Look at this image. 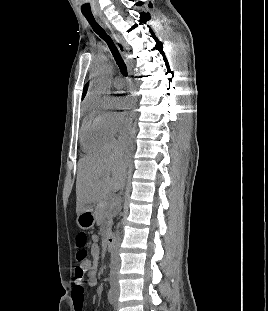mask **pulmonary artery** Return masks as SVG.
Segmentation results:
<instances>
[{"label": "pulmonary artery", "mask_w": 268, "mask_h": 311, "mask_svg": "<svg viewBox=\"0 0 268 311\" xmlns=\"http://www.w3.org/2000/svg\"><path fill=\"white\" fill-rule=\"evenodd\" d=\"M113 84H114L115 88H117V89H120L123 87V82L120 78L115 79Z\"/></svg>", "instance_id": "obj_1"}]
</instances>
